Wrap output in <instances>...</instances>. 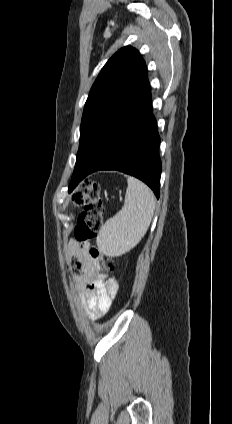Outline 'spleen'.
<instances>
[{
    "label": "spleen",
    "mask_w": 232,
    "mask_h": 424,
    "mask_svg": "<svg viewBox=\"0 0 232 424\" xmlns=\"http://www.w3.org/2000/svg\"><path fill=\"white\" fill-rule=\"evenodd\" d=\"M125 202L101 227L96 239L100 251L118 257L133 249L144 237L155 211V197L142 181L127 178Z\"/></svg>",
    "instance_id": "obj_1"
}]
</instances>
